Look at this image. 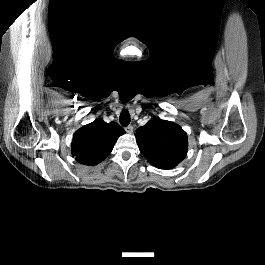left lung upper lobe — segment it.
I'll list each match as a JSON object with an SVG mask.
<instances>
[{
  "label": "left lung upper lobe",
  "mask_w": 265,
  "mask_h": 265,
  "mask_svg": "<svg viewBox=\"0 0 265 265\" xmlns=\"http://www.w3.org/2000/svg\"><path fill=\"white\" fill-rule=\"evenodd\" d=\"M135 136L144 157L159 169L175 167L187 154V134L173 122L153 118Z\"/></svg>",
  "instance_id": "1"
}]
</instances>
